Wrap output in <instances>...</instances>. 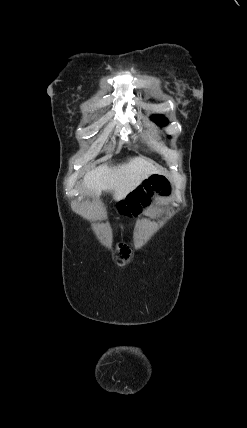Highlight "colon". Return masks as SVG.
Listing matches in <instances>:
<instances>
[{"mask_svg":"<svg viewBox=\"0 0 247 428\" xmlns=\"http://www.w3.org/2000/svg\"><path fill=\"white\" fill-rule=\"evenodd\" d=\"M169 193V183L162 176H151L138 186L129 196L128 199H113L111 205L116 210V215L121 218L119 221L120 229H128L131 217H143L144 209L153 211L150 205L151 196L154 194L167 195ZM111 228L117 227L116 221L110 222Z\"/></svg>","mask_w":247,"mask_h":428,"instance_id":"obj_1","label":"colon"}]
</instances>
